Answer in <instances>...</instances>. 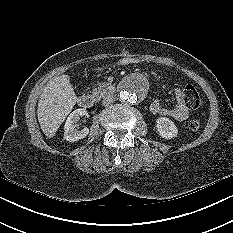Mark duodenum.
Instances as JSON below:
<instances>
[{
	"label": "duodenum",
	"instance_id": "duodenum-1",
	"mask_svg": "<svg viewBox=\"0 0 233 233\" xmlns=\"http://www.w3.org/2000/svg\"><path fill=\"white\" fill-rule=\"evenodd\" d=\"M111 87H100L96 88L94 92L88 94H83L78 97V105L82 108H90L93 103H99L102 99L106 97V94H111Z\"/></svg>",
	"mask_w": 233,
	"mask_h": 233
}]
</instances>
